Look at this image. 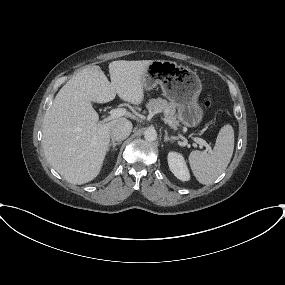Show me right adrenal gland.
Returning a JSON list of instances; mask_svg holds the SVG:
<instances>
[{"instance_id":"1","label":"right adrenal gland","mask_w":285,"mask_h":285,"mask_svg":"<svg viewBox=\"0 0 285 285\" xmlns=\"http://www.w3.org/2000/svg\"><path fill=\"white\" fill-rule=\"evenodd\" d=\"M121 143H122L121 141H118V142L112 141L111 143H109V145H108V147H107V152H109L110 147H112L113 150H115V147H116L117 145H120Z\"/></svg>"}]
</instances>
